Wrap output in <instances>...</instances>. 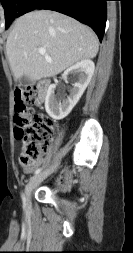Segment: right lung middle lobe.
Here are the masks:
<instances>
[{
  "label": "right lung middle lobe",
  "instance_id": "1",
  "mask_svg": "<svg viewBox=\"0 0 133 253\" xmlns=\"http://www.w3.org/2000/svg\"><path fill=\"white\" fill-rule=\"evenodd\" d=\"M5 10L6 29L10 26L24 0H0Z\"/></svg>",
  "mask_w": 133,
  "mask_h": 253
}]
</instances>
